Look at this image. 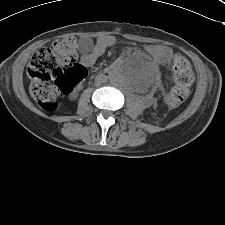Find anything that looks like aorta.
<instances>
[{
  "label": "aorta",
  "instance_id": "aorta-1",
  "mask_svg": "<svg viewBox=\"0 0 225 225\" xmlns=\"http://www.w3.org/2000/svg\"><path fill=\"white\" fill-rule=\"evenodd\" d=\"M110 80H111L112 82H115L117 79H115L114 77H111Z\"/></svg>",
  "mask_w": 225,
  "mask_h": 225
}]
</instances>
